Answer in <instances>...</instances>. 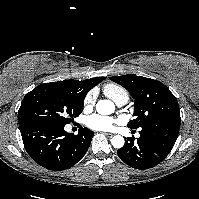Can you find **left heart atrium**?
I'll list each match as a JSON object with an SVG mask.
<instances>
[{"label": "left heart atrium", "mask_w": 199, "mask_h": 199, "mask_svg": "<svg viewBox=\"0 0 199 199\" xmlns=\"http://www.w3.org/2000/svg\"><path fill=\"white\" fill-rule=\"evenodd\" d=\"M115 123L116 121L113 118L99 114H93L87 119V125L90 128L101 131L111 129Z\"/></svg>", "instance_id": "39dd6f15"}]
</instances>
